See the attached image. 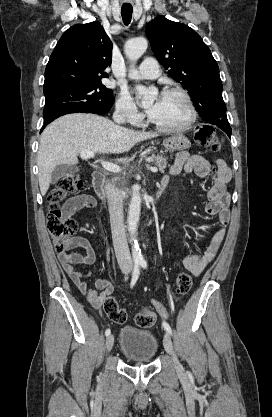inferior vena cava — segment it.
<instances>
[{
  "label": "inferior vena cava",
  "mask_w": 272,
  "mask_h": 417,
  "mask_svg": "<svg viewBox=\"0 0 272 417\" xmlns=\"http://www.w3.org/2000/svg\"><path fill=\"white\" fill-rule=\"evenodd\" d=\"M113 119L116 123H123L125 121V115L122 111L118 110L113 114ZM105 191L110 214L113 245L118 265L124 274H129L132 271L133 262L125 233L122 195L116 185L110 182L105 185Z\"/></svg>",
  "instance_id": "602c4592"
}]
</instances>
